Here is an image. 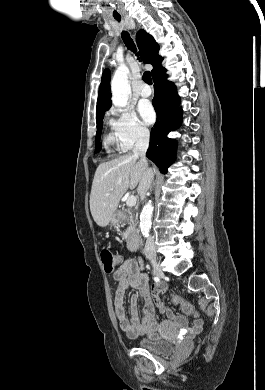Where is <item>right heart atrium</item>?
<instances>
[{
    "instance_id": "d8ad5b80",
    "label": "right heart atrium",
    "mask_w": 265,
    "mask_h": 390,
    "mask_svg": "<svg viewBox=\"0 0 265 390\" xmlns=\"http://www.w3.org/2000/svg\"><path fill=\"white\" fill-rule=\"evenodd\" d=\"M110 126L116 142L122 150H129L136 144L145 143L149 139V130L128 108H112Z\"/></svg>"
}]
</instances>
